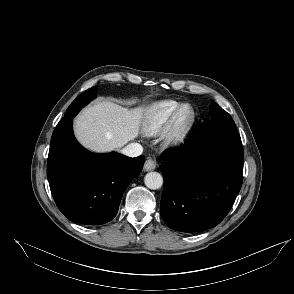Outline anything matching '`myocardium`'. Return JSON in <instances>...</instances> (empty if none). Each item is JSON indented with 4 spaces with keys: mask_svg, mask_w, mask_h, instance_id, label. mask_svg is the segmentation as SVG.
I'll use <instances>...</instances> for the list:
<instances>
[{
    "mask_svg": "<svg viewBox=\"0 0 294 294\" xmlns=\"http://www.w3.org/2000/svg\"><path fill=\"white\" fill-rule=\"evenodd\" d=\"M196 120V111L189 103L179 106L173 114L163 133V144L166 147H175L183 143L189 135Z\"/></svg>",
    "mask_w": 294,
    "mask_h": 294,
    "instance_id": "myocardium-1",
    "label": "myocardium"
}]
</instances>
